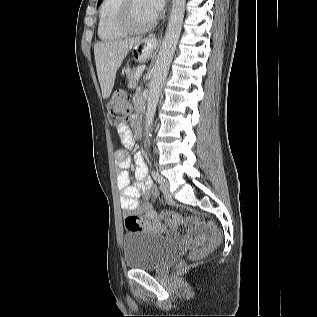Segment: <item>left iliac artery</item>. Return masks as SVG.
<instances>
[{
	"label": "left iliac artery",
	"mask_w": 317,
	"mask_h": 317,
	"mask_svg": "<svg viewBox=\"0 0 317 317\" xmlns=\"http://www.w3.org/2000/svg\"><path fill=\"white\" fill-rule=\"evenodd\" d=\"M151 174H152V176H153V178H154L155 181H157L158 183H161V182H162L163 178H162V176H161L157 171L153 170V171L151 172Z\"/></svg>",
	"instance_id": "44dca946"
}]
</instances>
